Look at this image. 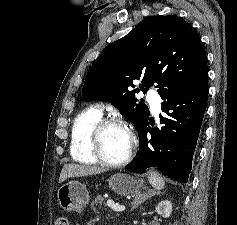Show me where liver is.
Listing matches in <instances>:
<instances>
[{
    "label": "liver",
    "mask_w": 237,
    "mask_h": 225,
    "mask_svg": "<svg viewBox=\"0 0 237 225\" xmlns=\"http://www.w3.org/2000/svg\"><path fill=\"white\" fill-rule=\"evenodd\" d=\"M102 172H105V169L100 167L66 164L62 168L59 183L64 182L67 178L96 175Z\"/></svg>",
    "instance_id": "6515ba94"
}]
</instances>
